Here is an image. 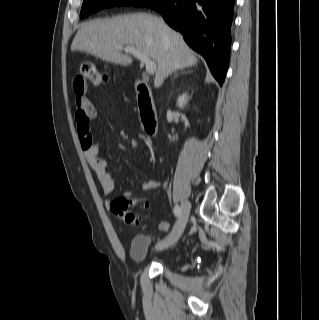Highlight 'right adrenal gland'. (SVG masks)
<instances>
[{
	"label": "right adrenal gland",
	"instance_id": "right-adrenal-gland-1",
	"mask_svg": "<svg viewBox=\"0 0 319 320\" xmlns=\"http://www.w3.org/2000/svg\"><path fill=\"white\" fill-rule=\"evenodd\" d=\"M182 73H185V71H183ZM177 76V74H175L174 78Z\"/></svg>",
	"mask_w": 319,
	"mask_h": 320
}]
</instances>
